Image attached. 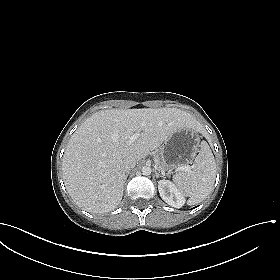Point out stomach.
<instances>
[{"label": "stomach", "mask_w": 280, "mask_h": 280, "mask_svg": "<svg viewBox=\"0 0 280 280\" xmlns=\"http://www.w3.org/2000/svg\"><path fill=\"white\" fill-rule=\"evenodd\" d=\"M200 136L197 129L184 126L176 130L160 147L159 157L165 170L186 166L194 160Z\"/></svg>", "instance_id": "obj_1"}]
</instances>
